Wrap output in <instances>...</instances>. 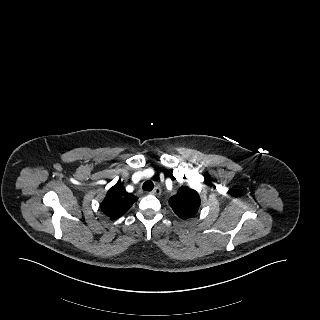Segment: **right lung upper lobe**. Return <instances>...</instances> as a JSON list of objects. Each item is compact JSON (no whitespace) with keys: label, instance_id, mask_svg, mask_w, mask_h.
<instances>
[{"label":"right lung upper lobe","instance_id":"obj_1","mask_svg":"<svg viewBox=\"0 0 320 320\" xmlns=\"http://www.w3.org/2000/svg\"><path fill=\"white\" fill-rule=\"evenodd\" d=\"M137 200L136 196L126 192L124 186L116 184L108 190L100 208L109 218L117 219L124 215Z\"/></svg>","mask_w":320,"mask_h":320}]
</instances>
